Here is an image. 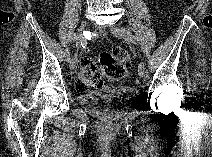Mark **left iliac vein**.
Returning <instances> with one entry per match:
<instances>
[{"label": "left iliac vein", "instance_id": "1", "mask_svg": "<svg viewBox=\"0 0 212 157\" xmlns=\"http://www.w3.org/2000/svg\"><path fill=\"white\" fill-rule=\"evenodd\" d=\"M110 31L117 38H126L129 35H131L130 32L126 31L125 29L119 28L117 26H111L110 27ZM138 74H139L140 77H144L145 76L143 65H139V67H138Z\"/></svg>", "mask_w": 212, "mask_h": 157}]
</instances>
